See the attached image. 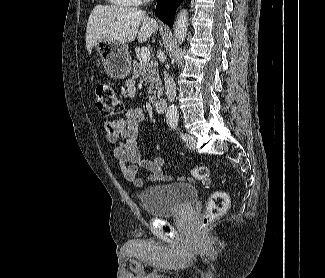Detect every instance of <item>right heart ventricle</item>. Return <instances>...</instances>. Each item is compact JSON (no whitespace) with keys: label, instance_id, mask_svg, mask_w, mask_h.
<instances>
[{"label":"right heart ventricle","instance_id":"obj_1","mask_svg":"<svg viewBox=\"0 0 325 278\" xmlns=\"http://www.w3.org/2000/svg\"><path fill=\"white\" fill-rule=\"evenodd\" d=\"M108 1L122 7H131L137 4L135 0H108Z\"/></svg>","mask_w":325,"mask_h":278}]
</instances>
